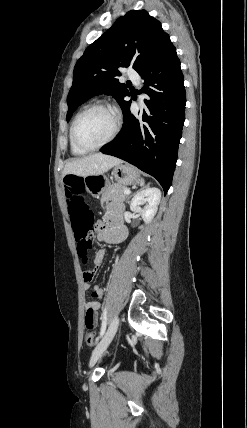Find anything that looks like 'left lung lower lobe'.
I'll use <instances>...</instances> for the list:
<instances>
[{"mask_svg": "<svg viewBox=\"0 0 247 428\" xmlns=\"http://www.w3.org/2000/svg\"><path fill=\"white\" fill-rule=\"evenodd\" d=\"M139 74L144 79L139 93L147 95L139 117L131 114L128 101L119 137L100 151L152 175L166 194L185 120L186 94L176 48L161 54Z\"/></svg>", "mask_w": 247, "mask_h": 428, "instance_id": "obj_1", "label": "left lung lower lobe"}]
</instances>
